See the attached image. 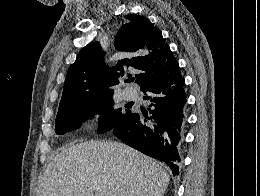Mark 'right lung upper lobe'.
<instances>
[{"label": "right lung upper lobe", "mask_w": 260, "mask_h": 196, "mask_svg": "<svg viewBox=\"0 0 260 196\" xmlns=\"http://www.w3.org/2000/svg\"><path fill=\"white\" fill-rule=\"evenodd\" d=\"M126 23L119 29L115 41L116 60L109 71L103 64L99 42L91 43L79 52L70 66L63 89L59 111L70 104L99 93H111L109 86L119 84L130 69L140 88L172 76L179 68L161 31L145 17L125 15Z\"/></svg>", "instance_id": "cb5924a9"}]
</instances>
